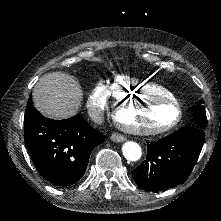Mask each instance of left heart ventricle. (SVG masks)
I'll use <instances>...</instances> for the list:
<instances>
[{"mask_svg":"<svg viewBox=\"0 0 221 221\" xmlns=\"http://www.w3.org/2000/svg\"><path fill=\"white\" fill-rule=\"evenodd\" d=\"M117 117L122 124H143L148 120L159 124L161 121L171 122L176 117V108L171 103H162L160 106L154 103L147 108L124 107L118 111Z\"/></svg>","mask_w":221,"mask_h":221,"instance_id":"obj_1","label":"left heart ventricle"}]
</instances>
